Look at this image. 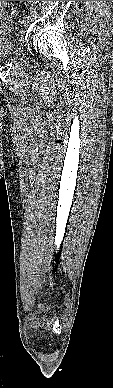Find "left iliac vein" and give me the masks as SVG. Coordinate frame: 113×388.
Segmentation results:
<instances>
[{
    "mask_svg": "<svg viewBox=\"0 0 113 388\" xmlns=\"http://www.w3.org/2000/svg\"><path fill=\"white\" fill-rule=\"evenodd\" d=\"M29 20L26 18V16L20 18L19 24L21 27L25 28L28 26Z\"/></svg>",
    "mask_w": 113,
    "mask_h": 388,
    "instance_id": "1",
    "label": "left iliac vein"
}]
</instances>
